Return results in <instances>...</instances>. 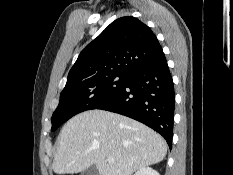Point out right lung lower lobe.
Returning a JSON list of instances; mask_svg holds the SVG:
<instances>
[{
	"label": "right lung lower lobe",
	"mask_w": 233,
	"mask_h": 175,
	"mask_svg": "<svg viewBox=\"0 0 233 175\" xmlns=\"http://www.w3.org/2000/svg\"><path fill=\"white\" fill-rule=\"evenodd\" d=\"M174 88L165 55L129 74L121 91L97 109L119 113L160 133L172 147Z\"/></svg>",
	"instance_id": "1"
}]
</instances>
